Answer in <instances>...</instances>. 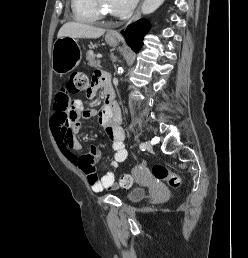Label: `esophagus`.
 <instances>
[{"label":"esophagus","mask_w":248,"mask_h":258,"mask_svg":"<svg viewBox=\"0 0 248 258\" xmlns=\"http://www.w3.org/2000/svg\"><path fill=\"white\" fill-rule=\"evenodd\" d=\"M141 5H142V0L138 6V8L136 9L134 15L132 16V18L129 20V22L127 23V25L129 24H132L133 22H135L139 17H140V10H141ZM111 35H118L119 32L118 31H115V30H112L110 32Z\"/></svg>","instance_id":"1"}]
</instances>
